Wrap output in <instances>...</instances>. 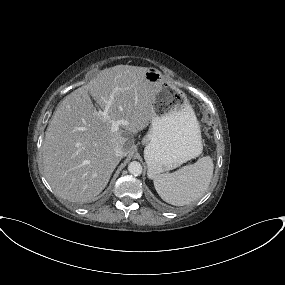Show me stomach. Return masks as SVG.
<instances>
[{
	"label": "stomach",
	"instance_id": "obj_1",
	"mask_svg": "<svg viewBox=\"0 0 285 285\" xmlns=\"http://www.w3.org/2000/svg\"><path fill=\"white\" fill-rule=\"evenodd\" d=\"M145 77L156 89L151 125L143 139L147 174L153 179L198 157L203 145L199 123L185 93L155 68H147Z\"/></svg>",
	"mask_w": 285,
	"mask_h": 285
}]
</instances>
